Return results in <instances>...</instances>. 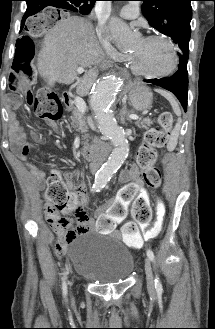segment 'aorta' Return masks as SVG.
Returning a JSON list of instances; mask_svg holds the SVG:
<instances>
[{"label": "aorta", "instance_id": "obj_1", "mask_svg": "<svg viewBox=\"0 0 215 329\" xmlns=\"http://www.w3.org/2000/svg\"><path fill=\"white\" fill-rule=\"evenodd\" d=\"M108 26L117 46L124 48L131 45L132 32L125 22L118 18H112ZM119 88V80L109 76L101 79L95 85L90 97V105L95 114L97 127L114 146L108 160L95 175L94 186L97 188L104 187L108 183L129 153V142L125 131L118 125L112 113V105L116 100Z\"/></svg>", "mask_w": 215, "mask_h": 329}]
</instances>
